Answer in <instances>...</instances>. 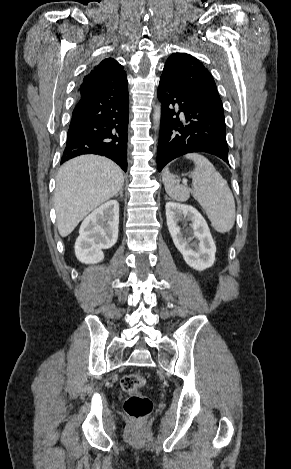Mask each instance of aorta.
Listing matches in <instances>:
<instances>
[{"label": "aorta", "instance_id": "762f6f07", "mask_svg": "<svg viewBox=\"0 0 291 469\" xmlns=\"http://www.w3.org/2000/svg\"><path fill=\"white\" fill-rule=\"evenodd\" d=\"M153 120H154V129L158 130L160 127V120H161V105L160 104H158L155 107Z\"/></svg>", "mask_w": 291, "mask_h": 469}]
</instances>
